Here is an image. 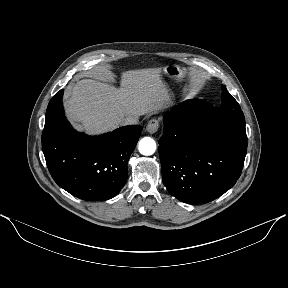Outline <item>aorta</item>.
<instances>
[{
	"instance_id": "1",
	"label": "aorta",
	"mask_w": 288,
	"mask_h": 288,
	"mask_svg": "<svg viewBox=\"0 0 288 288\" xmlns=\"http://www.w3.org/2000/svg\"><path fill=\"white\" fill-rule=\"evenodd\" d=\"M138 149L142 155L149 156L156 151V143L152 138L144 137L140 140Z\"/></svg>"
}]
</instances>
